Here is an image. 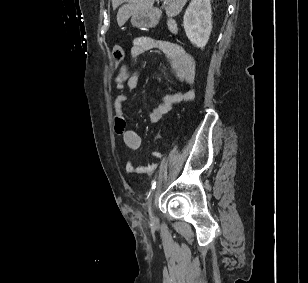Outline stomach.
Masks as SVG:
<instances>
[{
    "mask_svg": "<svg viewBox=\"0 0 308 283\" xmlns=\"http://www.w3.org/2000/svg\"><path fill=\"white\" fill-rule=\"evenodd\" d=\"M131 23L136 27H148L152 25L153 18L150 13L141 12L132 16Z\"/></svg>",
    "mask_w": 308,
    "mask_h": 283,
    "instance_id": "stomach-1",
    "label": "stomach"
}]
</instances>
